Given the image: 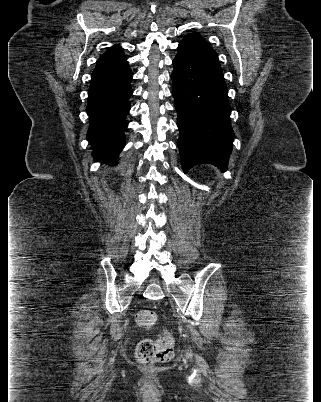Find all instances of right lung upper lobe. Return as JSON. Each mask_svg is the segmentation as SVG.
<instances>
[{
  "mask_svg": "<svg viewBox=\"0 0 321 402\" xmlns=\"http://www.w3.org/2000/svg\"><path fill=\"white\" fill-rule=\"evenodd\" d=\"M126 64L128 62L123 49L119 45H114L100 56L97 66H120Z\"/></svg>",
  "mask_w": 321,
  "mask_h": 402,
  "instance_id": "obj_1",
  "label": "right lung upper lobe"
}]
</instances>
